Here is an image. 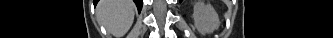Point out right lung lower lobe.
<instances>
[{
    "instance_id": "obj_1",
    "label": "right lung lower lobe",
    "mask_w": 333,
    "mask_h": 38,
    "mask_svg": "<svg viewBox=\"0 0 333 38\" xmlns=\"http://www.w3.org/2000/svg\"><path fill=\"white\" fill-rule=\"evenodd\" d=\"M97 2H98V0H95V1H94V4L96 5ZM134 2L136 3L138 10L140 11L141 8H142L143 0H134Z\"/></svg>"
}]
</instances>
